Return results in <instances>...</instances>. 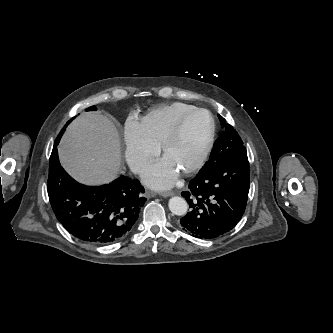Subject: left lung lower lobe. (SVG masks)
<instances>
[{"label": "left lung lower lobe", "instance_id": "0a47b994", "mask_svg": "<svg viewBox=\"0 0 333 333\" xmlns=\"http://www.w3.org/2000/svg\"><path fill=\"white\" fill-rule=\"evenodd\" d=\"M225 136L222 133L219 138ZM249 187L247 154L205 165L182 192L191 210L180 219V228L204 239L229 232L245 212Z\"/></svg>", "mask_w": 333, "mask_h": 333}]
</instances>
